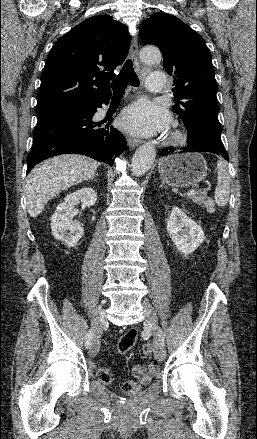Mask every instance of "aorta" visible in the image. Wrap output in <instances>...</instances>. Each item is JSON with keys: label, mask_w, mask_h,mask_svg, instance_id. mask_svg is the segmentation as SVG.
<instances>
[{"label": "aorta", "mask_w": 257, "mask_h": 439, "mask_svg": "<svg viewBox=\"0 0 257 439\" xmlns=\"http://www.w3.org/2000/svg\"><path fill=\"white\" fill-rule=\"evenodd\" d=\"M141 58L147 64H155L161 60V53L157 48L147 47L141 50ZM156 157V150L150 144L140 146L132 158V172L136 176L144 175L152 166Z\"/></svg>", "instance_id": "762f6f07"}]
</instances>
